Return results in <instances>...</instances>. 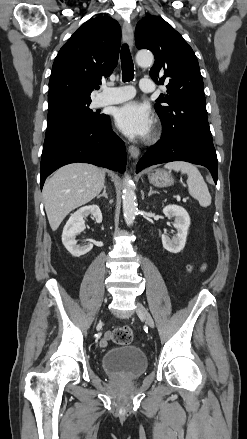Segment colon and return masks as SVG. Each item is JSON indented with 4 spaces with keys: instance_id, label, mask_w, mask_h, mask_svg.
Wrapping results in <instances>:
<instances>
[{
    "instance_id": "obj_1",
    "label": "colon",
    "mask_w": 247,
    "mask_h": 439,
    "mask_svg": "<svg viewBox=\"0 0 247 439\" xmlns=\"http://www.w3.org/2000/svg\"><path fill=\"white\" fill-rule=\"evenodd\" d=\"M192 265L187 270L191 271ZM112 340L119 345H128L133 341V332L128 326L116 328L112 333Z\"/></svg>"
}]
</instances>
